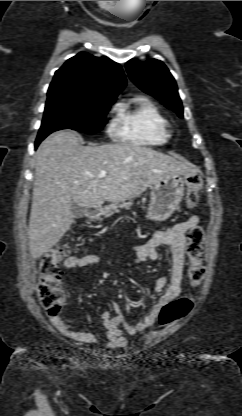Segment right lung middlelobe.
Instances as JSON below:
<instances>
[{
  "label": "right lung middle lobe",
  "instance_id": "1",
  "mask_svg": "<svg viewBox=\"0 0 242 416\" xmlns=\"http://www.w3.org/2000/svg\"><path fill=\"white\" fill-rule=\"evenodd\" d=\"M114 101L65 97L48 98L37 139L61 129L97 133L106 124V114Z\"/></svg>",
  "mask_w": 242,
  "mask_h": 416
}]
</instances>
